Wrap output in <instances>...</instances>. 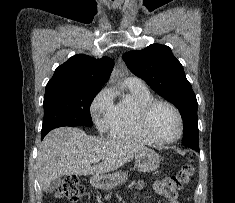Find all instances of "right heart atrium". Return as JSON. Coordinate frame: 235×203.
<instances>
[{"mask_svg":"<svg viewBox=\"0 0 235 203\" xmlns=\"http://www.w3.org/2000/svg\"><path fill=\"white\" fill-rule=\"evenodd\" d=\"M113 110L111 90L102 88L93 98L90 105L92 119L101 131L106 130Z\"/></svg>","mask_w":235,"mask_h":203,"instance_id":"obj_1","label":"right heart atrium"}]
</instances>
